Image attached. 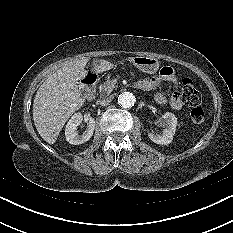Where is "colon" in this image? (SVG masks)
Instances as JSON below:
<instances>
[{
	"instance_id": "5ec220e1",
	"label": "colon",
	"mask_w": 233,
	"mask_h": 233,
	"mask_svg": "<svg viewBox=\"0 0 233 233\" xmlns=\"http://www.w3.org/2000/svg\"><path fill=\"white\" fill-rule=\"evenodd\" d=\"M182 98L192 107L191 120L194 124H202L205 120L204 110L200 107L201 95L193 81L189 78L182 80Z\"/></svg>"
}]
</instances>
